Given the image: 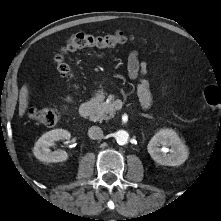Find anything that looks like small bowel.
Returning <instances> with one entry per match:
<instances>
[{
    "label": "small bowel",
    "mask_w": 221,
    "mask_h": 221,
    "mask_svg": "<svg viewBox=\"0 0 221 221\" xmlns=\"http://www.w3.org/2000/svg\"><path fill=\"white\" fill-rule=\"evenodd\" d=\"M127 70L128 76L131 80H135L139 76H143L146 74L147 63L145 61L139 60V52L137 50H132L129 53ZM137 94L143 108L150 107L152 98L148 82L145 79H142L137 85Z\"/></svg>",
    "instance_id": "small-bowel-1"
}]
</instances>
